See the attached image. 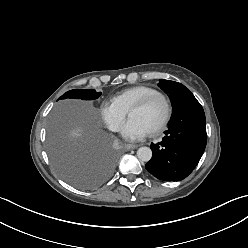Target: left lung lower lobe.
<instances>
[{
    "label": "left lung lower lobe",
    "instance_id": "0a47b994",
    "mask_svg": "<svg viewBox=\"0 0 248 248\" xmlns=\"http://www.w3.org/2000/svg\"><path fill=\"white\" fill-rule=\"evenodd\" d=\"M163 141L151 144L152 158L145 168L163 181L186 178L202 157L206 142V119L202 106L192 96L172 114Z\"/></svg>",
    "mask_w": 248,
    "mask_h": 248
}]
</instances>
